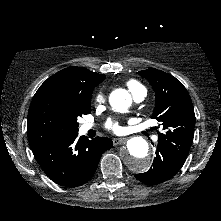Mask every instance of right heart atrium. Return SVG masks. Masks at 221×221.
<instances>
[{"label":"right heart atrium","mask_w":221,"mask_h":221,"mask_svg":"<svg viewBox=\"0 0 221 221\" xmlns=\"http://www.w3.org/2000/svg\"><path fill=\"white\" fill-rule=\"evenodd\" d=\"M96 102L102 103L105 100V96L103 93H98L95 98Z\"/></svg>","instance_id":"d8ad5b80"}]
</instances>
